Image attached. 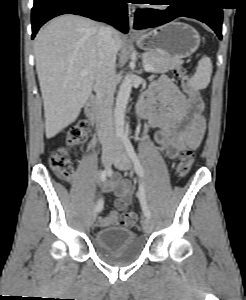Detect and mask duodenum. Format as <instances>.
I'll use <instances>...</instances> for the list:
<instances>
[{
    "label": "duodenum",
    "mask_w": 246,
    "mask_h": 300,
    "mask_svg": "<svg viewBox=\"0 0 246 300\" xmlns=\"http://www.w3.org/2000/svg\"><path fill=\"white\" fill-rule=\"evenodd\" d=\"M148 108L143 100L138 102L137 112L140 115H144ZM86 113L92 123H101L104 118V107L100 104L98 98L90 99L86 107Z\"/></svg>",
    "instance_id": "obj_1"
}]
</instances>
